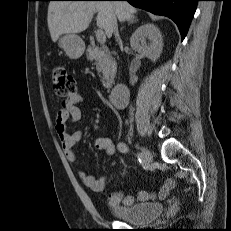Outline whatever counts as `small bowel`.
<instances>
[{"mask_svg": "<svg viewBox=\"0 0 231 231\" xmlns=\"http://www.w3.org/2000/svg\"><path fill=\"white\" fill-rule=\"evenodd\" d=\"M81 100V95L78 93L67 98L62 103V106L58 110L56 115L55 132L60 139L64 154L69 162L76 161L77 156L74 150V146L82 138L81 131H71L68 128L69 123L77 122L81 119L82 113L78 106ZM93 145L97 150L104 151L108 155H114L116 153L114 142L110 136H100L95 138ZM78 176L83 181V183L92 191L103 192L105 190V177L95 178L83 170L78 171ZM174 185V180L172 178H167L163 181L157 191L153 193L141 191L138 193L136 198L131 196H124L121 192L110 193L107 196V203L109 206L115 207L120 203L128 205L135 201L163 199L174 188Z\"/></svg>", "mask_w": 231, "mask_h": 231, "instance_id": "small-bowel-1", "label": "small bowel"}]
</instances>
